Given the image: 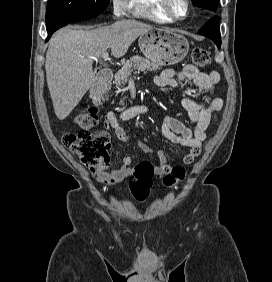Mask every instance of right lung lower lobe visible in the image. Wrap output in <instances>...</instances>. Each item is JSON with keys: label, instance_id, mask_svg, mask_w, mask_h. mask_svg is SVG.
<instances>
[{"label": "right lung lower lobe", "instance_id": "1", "mask_svg": "<svg viewBox=\"0 0 272 282\" xmlns=\"http://www.w3.org/2000/svg\"><path fill=\"white\" fill-rule=\"evenodd\" d=\"M101 12L98 11H84V12H78L72 15H66L54 18L48 22H46V29L48 32V37L46 39V42L49 40L51 35L59 28L67 25L68 23L78 22L82 20H86L92 17H95L99 15Z\"/></svg>", "mask_w": 272, "mask_h": 282}]
</instances>
